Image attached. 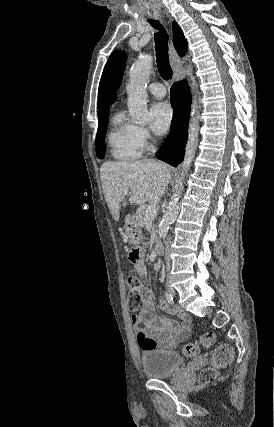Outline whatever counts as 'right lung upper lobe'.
<instances>
[{
  "label": "right lung upper lobe",
  "instance_id": "cb5924a9",
  "mask_svg": "<svg viewBox=\"0 0 274 427\" xmlns=\"http://www.w3.org/2000/svg\"><path fill=\"white\" fill-rule=\"evenodd\" d=\"M173 44H174L175 49L177 50V52L180 56H184L186 54L187 49H188V44H187V41L183 35L181 28L178 26V24L176 22H173ZM116 54H117V51H115L111 54L110 58L108 59L106 65H105V68H104V71L102 74V78H101L100 85H99V93H98V113L104 112V111L109 109V105L104 103V100H103L102 86H103L105 74H106L109 66L111 65Z\"/></svg>",
  "mask_w": 274,
  "mask_h": 427
}]
</instances>
